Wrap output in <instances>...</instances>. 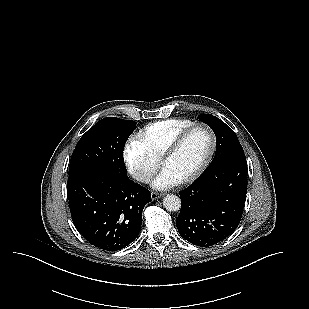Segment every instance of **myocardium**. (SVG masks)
Wrapping results in <instances>:
<instances>
[{
    "label": "myocardium",
    "mask_w": 309,
    "mask_h": 309,
    "mask_svg": "<svg viewBox=\"0 0 309 309\" xmlns=\"http://www.w3.org/2000/svg\"><path fill=\"white\" fill-rule=\"evenodd\" d=\"M198 127L205 128L208 131L209 136H210V149L208 151L207 156L205 157V159L201 163V165L194 172H192L190 175L186 176L185 178H183L179 181L181 184H187V183H190V182H193L194 180H196L199 176L202 175V173L207 169V167L211 163L213 155H214L215 150H216V135H215V132L213 131V129L208 124L203 123V122H195V123L189 125L185 129H183L171 141V143L168 145V147L166 148V150L164 151L163 155L160 158V164H161V166L164 167L165 162L168 159H170L178 151V149L181 147L182 143L184 142L186 137L189 135V133L193 129L198 128Z\"/></svg>",
    "instance_id": "1"
}]
</instances>
